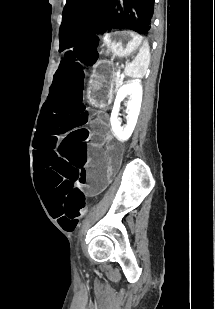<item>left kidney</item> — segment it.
Listing matches in <instances>:
<instances>
[{
    "mask_svg": "<svg viewBox=\"0 0 215 309\" xmlns=\"http://www.w3.org/2000/svg\"><path fill=\"white\" fill-rule=\"evenodd\" d=\"M127 94H130L131 98V100H128L127 104V124L121 126V118H118V112L121 100H124ZM141 102L142 86L139 80H132L129 84H123V86L119 88L110 116L112 130L115 132V136H117L118 140H128L129 136H131L140 112Z\"/></svg>",
    "mask_w": 215,
    "mask_h": 309,
    "instance_id": "left-kidney-1",
    "label": "left kidney"
}]
</instances>
